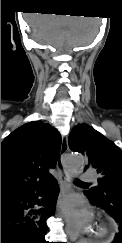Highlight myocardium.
<instances>
[{
	"instance_id": "1",
	"label": "myocardium",
	"mask_w": 122,
	"mask_h": 243,
	"mask_svg": "<svg viewBox=\"0 0 122 243\" xmlns=\"http://www.w3.org/2000/svg\"><path fill=\"white\" fill-rule=\"evenodd\" d=\"M107 232L106 226L103 223H98L96 225V230H95V235L100 237L105 235V233Z\"/></svg>"
}]
</instances>
